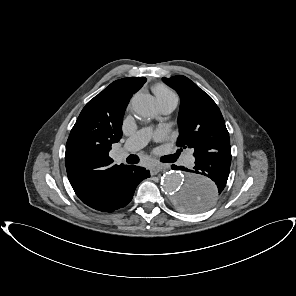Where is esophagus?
Wrapping results in <instances>:
<instances>
[{"mask_svg": "<svg viewBox=\"0 0 296 296\" xmlns=\"http://www.w3.org/2000/svg\"><path fill=\"white\" fill-rule=\"evenodd\" d=\"M166 168H167L166 165H163V164H155V165H153V166L150 167V173H151V175H156L159 172L165 170Z\"/></svg>", "mask_w": 296, "mask_h": 296, "instance_id": "1", "label": "esophagus"}]
</instances>
